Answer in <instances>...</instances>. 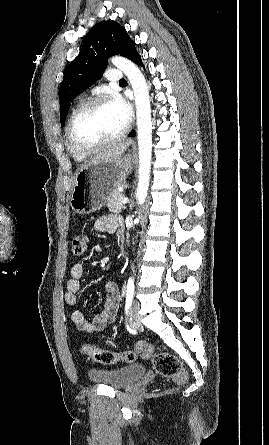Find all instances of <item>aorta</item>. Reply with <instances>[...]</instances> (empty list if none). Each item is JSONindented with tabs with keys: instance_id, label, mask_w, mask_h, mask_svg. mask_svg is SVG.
<instances>
[{
	"instance_id": "obj_1",
	"label": "aorta",
	"mask_w": 269,
	"mask_h": 445,
	"mask_svg": "<svg viewBox=\"0 0 269 445\" xmlns=\"http://www.w3.org/2000/svg\"><path fill=\"white\" fill-rule=\"evenodd\" d=\"M111 62L127 76L134 91L139 149V182L136 197L138 204L142 205L145 202L149 188L152 158V124L149 90L143 74L130 60L116 56L111 58Z\"/></svg>"
}]
</instances>
